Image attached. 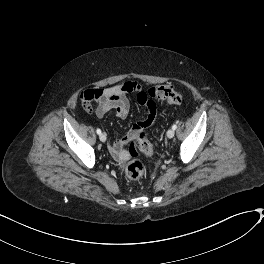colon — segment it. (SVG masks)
<instances>
[{"instance_id":"1","label":"colon","mask_w":264,"mask_h":264,"mask_svg":"<svg viewBox=\"0 0 264 264\" xmlns=\"http://www.w3.org/2000/svg\"><path fill=\"white\" fill-rule=\"evenodd\" d=\"M183 94L176 91L169 85L155 86L147 91H141L137 94L136 99L140 104L151 107L155 104L156 100L167 101L171 104L180 103L183 100ZM93 98L92 92H86L83 97V103L86 109L91 108L90 100ZM141 128L140 123H136ZM146 156L154 154V146L152 141L144 133L139 134L136 143H132L129 152L136 155V147ZM145 172L144 164L139 160H134L126 167L125 175L130 180H138L143 177Z\"/></svg>"}]
</instances>
